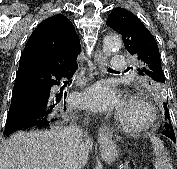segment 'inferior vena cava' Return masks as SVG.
I'll list each match as a JSON object with an SVG mask.
<instances>
[{
	"instance_id": "inferior-vena-cava-1",
	"label": "inferior vena cava",
	"mask_w": 177,
	"mask_h": 169,
	"mask_svg": "<svg viewBox=\"0 0 177 169\" xmlns=\"http://www.w3.org/2000/svg\"><path fill=\"white\" fill-rule=\"evenodd\" d=\"M82 131L74 126L64 128L60 132L61 169H81L79 163V145Z\"/></svg>"
}]
</instances>
